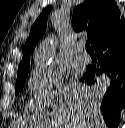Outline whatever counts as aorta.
Wrapping results in <instances>:
<instances>
[{"instance_id": "aorta-1", "label": "aorta", "mask_w": 125, "mask_h": 128, "mask_svg": "<svg viewBox=\"0 0 125 128\" xmlns=\"http://www.w3.org/2000/svg\"><path fill=\"white\" fill-rule=\"evenodd\" d=\"M55 47L54 41L52 39H46L45 41L42 42V44L40 45V48L37 52V59H43V61L46 60L45 55L46 53L50 52L51 50H53Z\"/></svg>"}]
</instances>
